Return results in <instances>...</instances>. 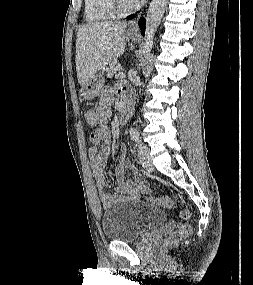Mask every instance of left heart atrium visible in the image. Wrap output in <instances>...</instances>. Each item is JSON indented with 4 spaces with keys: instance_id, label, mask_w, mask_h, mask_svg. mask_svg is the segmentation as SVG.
Instances as JSON below:
<instances>
[{
    "instance_id": "39dd6f15",
    "label": "left heart atrium",
    "mask_w": 253,
    "mask_h": 285,
    "mask_svg": "<svg viewBox=\"0 0 253 285\" xmlns=\"http://www.w3.org/2000/svg\"><path fill=\"white\" fill-rule=\"evenodd\" d=\"M134 2H137L138 0H133Z\"/></svg>"
}]
</instances>
